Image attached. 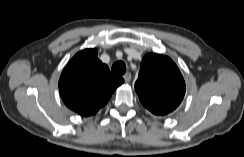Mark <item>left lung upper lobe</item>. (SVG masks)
Returning <instances> with one entry per match:
<instances>
[{
  "label": "left lung upper lobe",
  "mask_w": 244,
  "mask_h": 157,
  "mask_svg": "<svg viewBox=\"0 0 244 157\" xmlns=\"http://www.w3.org/2000/svg\"><path fill=\"white\" fill-rule=\"evenodd\" d=\"M135 90L144 107L155 115H166L181 103L185 82L169 57L149 53L141 62Z\"/></svg>",
  "instance_id": "5c2ea615"
}]
</instances>
